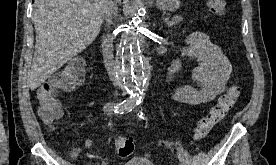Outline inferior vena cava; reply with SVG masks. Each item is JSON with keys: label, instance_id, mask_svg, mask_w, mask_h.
<instances>
[{"label": "inferior vena cava", "instance_id": "602c4592", "mask_svg": "<svg viewBox=\"0 0 276 165\" xmlns=\"http://www.w3.org/2000/svg\"><path fill=\"white\" fill-rule=\"evenodd\" d=\"M117 3L119 0H105L103 6V19L106 21V25L110 27L113 24V18L117 16ZM104 63L107 72L111 79L115 80V74L117 72L116 63L113 59V45L112 37L107 35L103 38L102 42Z\"/></svg>", "mask_w": 276, "mask_h": 165}]
</instances>
